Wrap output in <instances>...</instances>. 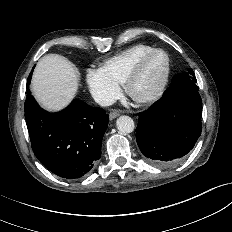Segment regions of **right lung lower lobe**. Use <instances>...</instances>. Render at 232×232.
I'll return each instance as SVG.
<instances>
[{
  "label": "right lung lower lobe",
  "mask_w": 232,
  "mask_h": 232,
  "mask_svg": "<svg viewBox=\"0 0 232 232\" xmlns=\"http://www.w3.org/2000/svg\"><path fill=\"white\" fill-rule=\"evenodd\" d=\"M25 119L32 149L38 160L54 174L75 179L87 175L101 157L103 135L109 116L80 100L58 113L43 110L29 90Z\"/></svg>",
  "instance_id": "1"
}]
</instances>
